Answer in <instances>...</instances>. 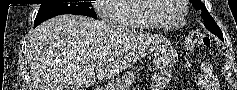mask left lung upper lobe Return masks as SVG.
<instances>
[{"label": "left lung upper lobe", "instance_id": "1", "mask_svg": "<svg viewBox=\"0 0 237 90\" xmlns=\"http://www.w3.org/2000/svg\"><path fill=\"white\" fill-rule=\"evenodd\" d=\"M190 2L196 9H200L202 11L201 16L204 19V26L210 32L217 35L221 40H223V35L220 28L218 27L214 19L210 16L205 5L201 2V0H190Z\"/></svg>", "mask_w": 237, "mask_h": 90}]
</instances>
